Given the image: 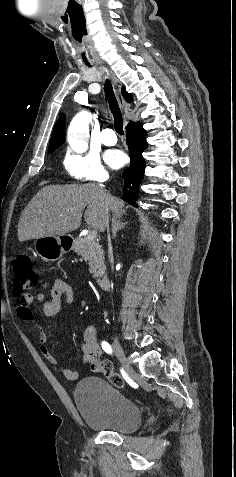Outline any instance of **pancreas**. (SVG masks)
<instances>
[{"instance_id":"pancreas-1","label":"pancreas","mask_w":236,"mask_h":477,"mask_svg":"<svg viewBox=\"0 0 236 477\" xmlns=\"http://www.w3.org/2000/svg\"><path fill=\"white\" fill-rule=\"evenodd\" d=\"M85 261H88L89 271L94 279L102 277L105 272L104 256L99 243L90 241L86 237L76 238L72 246Z\"/></svg>"}]
</instances>
